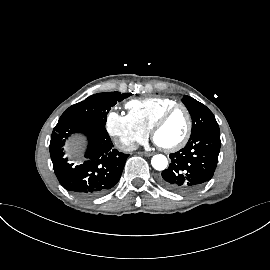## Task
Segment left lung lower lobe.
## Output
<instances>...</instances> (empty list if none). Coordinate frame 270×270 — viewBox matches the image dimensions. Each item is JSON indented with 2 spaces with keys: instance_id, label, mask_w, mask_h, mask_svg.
I'll return each mask as SVG.
<instances>
[{
  "instance_id": "left-lung-lower-lobe-1",
  "label": "left lung lower lobe",
  "mask_w": 270,
  "mask_h": 270,
  "mask_svg": "<svg viewBox=\"0 0 270 270\" xmlns=\"http://www.w3.org/2000/svg\"><path fill=\"white\" fill-rule=\"evenodd\" d=\"M220 146V133L205 132L189 139L183 149L170 154L171 163L162 172L161 185L177 194L196 192L213 177Z\"/></svg>"
}]
</instances>
